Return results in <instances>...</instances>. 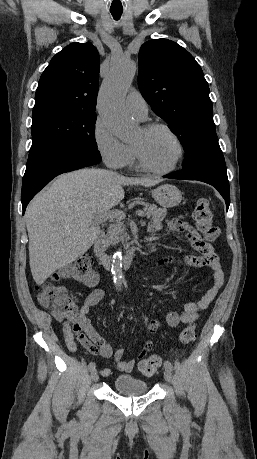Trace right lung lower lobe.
<instances>
[{
  "label": "right lung lower lobe",
  "mask_w": 257,
  "mask_h": 459,
  "mask_svg": "<svg viewBox=\"0 0 257 459\" xmlns=\"http://www.w3.org/2000/svg\"><path fill=\"white\" fill-rule=\"evenodd\" d=\"M101 156L71 147L30 151L23 177L21 202L23 214L29 201L59 174L98 164Z\"/></svg>",
  "instance_id": "obj_1"
}]
</instances>
